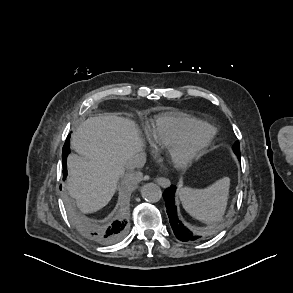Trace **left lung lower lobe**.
I'll return each mask as SVG.
<instances>
[{"instance_id": "0a47b994", "label": "left lung lower lobe", "mask_w": 293, "mask_h": 293, "mask_svg": "<svg viewBox=\"0 0 293 293\" xmlns=\"http://www.w3.org/2000/svg\"><path fill=\"white\" fill-rule=\"evenodd\" d=\"M240 160V155L237 156ZM176 191V186H171L167 188L163 194V198L166 202L167 214L169 216V221L176 235V238L180 241H189L195 240L199 238L198 236H194L177 217V209L175 206L174 195Z\"/></svg>"}]
</instances>
